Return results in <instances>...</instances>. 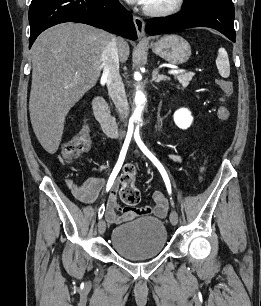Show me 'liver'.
Wrapping results in <instances>:
<instances>
[{"mask_svg":"<svg viewBox=\"0 0 261 306\" xmlns=\"http://www.w3.org/2000/svg\"><path fill=\"white\" fill-rule=\"evenodd\" d=\"M112 36L81 23H62L39 35L32 46V86L29 99L33 131L49 153L60 145L65 117L97 82L103 52ZM119 59L129 57L128 43L117 41Z\"/></svg>","mask_w":261,"mask_h":306,"instance_id":"1","label":"liver"}]
</instances>
